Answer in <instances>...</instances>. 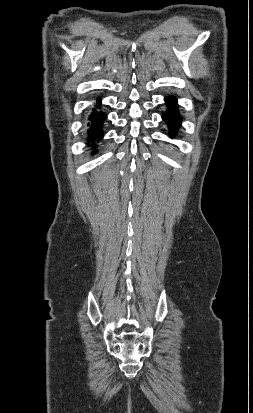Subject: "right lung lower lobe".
Instances as JSON below:
<instances>
[{
	"mask_svg": "<svg viewBox=\"0 0 253 413\" xmlns=\"http://www.w3.org/2000/svg\"><path fill=\"white\" fill-rule=\"evenodd\" d=\"M100 103L101 100H97V104L95 106L96 109L100 108ZM96 109H93L88 117L90 123L88 124L89 128L87 130V142L90 146H94L95 141H99L103 137L102 124L106 119V115L102 111H97Z\"/></svg>",
	"mask_w": 253,
	"mask_h": 413,
	"instance_id": "1",
	"label": "right lung lower lobe"
}]
</instances>
